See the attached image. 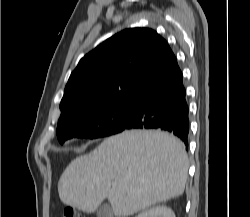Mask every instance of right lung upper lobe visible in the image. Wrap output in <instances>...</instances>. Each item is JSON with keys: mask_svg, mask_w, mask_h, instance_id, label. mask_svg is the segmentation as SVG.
<instances>
[{"mask_svg": "<svg viewBox=\"0 0 250 217\" xmlns=\"http://www.w3.org/2000/svg\"><path fill=\"white\" fill-rule=\"evenodd\" d=\"M177 67L169 45L155 31L126 29L80 60L65 87L58 122L89 108L135 99Z\"/></svg>", "mask_w": 250, "mask_h": 217, "instance_id": "right-lung-upper-lobe-1", "label": "right lung upper lobe"}]
</instances>
